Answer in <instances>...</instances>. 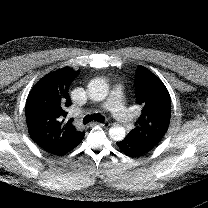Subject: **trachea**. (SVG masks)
<instances>
[{
  "label": "trachea",
  "mask_w": 208,
  "mask_h": 208,
  "mask_svg": "<svg viewBox=\"0 0 208 208\" xmlns=\"http://www.w3.org/2000/svg\"><path fill=\"white\" fill-rule=\"evenodd\" d=\"M98 121V122H103L104 121V117L100 114H93V115H86L84 118H83V123L84 124H87L91 121Z\"/></svg>",
  "instance_id": "trachea-1"
}]
</instances>
